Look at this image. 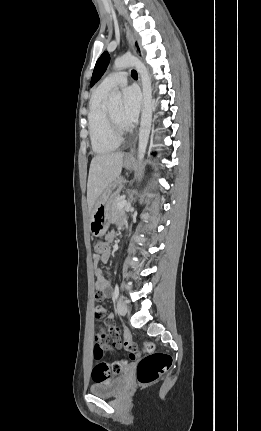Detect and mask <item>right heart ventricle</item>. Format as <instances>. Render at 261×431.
I'll use <instances>...</instances> for the list:
<instances>
[{
	"instance_id": "obj_1",
	"label": "right heart ventricle",
	"mask_w": 261,
	"mask_h": 431,
	"mask_svg": "<svg viewBox=\"0 0 261 431\" xmlns=\"http://www.w3.org/2000/svg\"><path fill=\"white\" fill-rule=\"evenodd\" d=\"M107 91L97 88L90 102L88 112L89 135L93 151L99 155L115 151L120 141L117 140L108 125L103 100Z\"/></svg>"
}]
</instances>
